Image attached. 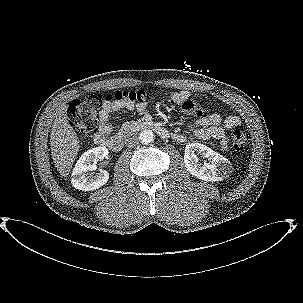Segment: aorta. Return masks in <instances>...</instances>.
<instances>
[{"mask_svg": "<svg viewBox=\"0 0 303 303\" xmlns=\"http://www.w3.org/2000/svg\"><path fill=\"white\" fill-rule=\"evenodd\" d=\"M154 133L152 132V130L146 129L140 132L139 134V140L141 141V143L147 145L151 142L154 141Z\"/></svg>", "mask_w": 303, "mask_h": 303, "instance_id": "obj_1", "label": "aorta"}]
</instances>
